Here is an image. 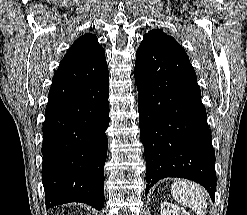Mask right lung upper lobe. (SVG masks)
Here are the masks:
<instances>
[{"instance_id": "1", "label": "right lung upper lobe", "mask_w": 247, "mask_h": 215, "mask_svg": "<svg viewBox=\"0 0 247 215\" xmlns=\"http://www.w3.org/2000/svg\"><path fill=\"white\" fill-rule=\"evenodd\" d=\"M101 50L103 48L98 44L97 37L93 34H85L73 43L63 59L88 57Z\"/></svg>"}]
</instances>
